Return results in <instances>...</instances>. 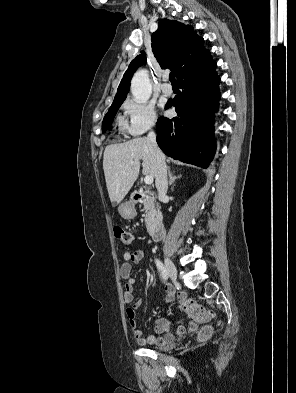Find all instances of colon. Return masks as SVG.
<instances>
[{"mask_svg": "<svg viewBox=\"0 0 296 393\" xmlns=\"http://www.w3.org/2000/svg\"><path fill=\"white\" fill-rule=\"evenodd\" d=\"M113 232L114 236L122 243L130 244L132 242V234L128 230L117 226L114 227ZM182 308L191 319L199 322H205L213 316L210 310L205 309L193 299H185L182 302ZM212 332L213 328L211 326H205L199 333V340H206L211 336Z\"/></svg>", "mask_w": 296, "mask_h": 393, "instance_id": "colon-1", "label": "colon"}]
</instances>
